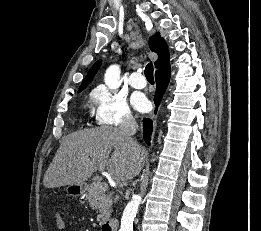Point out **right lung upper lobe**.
<instances>
[{
	"label": "right lung upper lobe",
	"mask_w": 261,
	"mask_h": 231,
	"mask_svg": "<svg viewBox=\"0 0 261 231\" xmlns=\"http://www.w3.org/2000/svg\"><path fill=\"white\" fill-rule=\"evenodd\" d=\"M149 46L151 51L158 54V59L155 62V67L157 68L156 72L169 66V51L167 48L166 42L160 37L159 33H156L152 36L149 40ZM101 65V60L97 61L89 70L88 74L86 75L85 79L83 80L79 90L82 91L87 87L89 83L93 80V77L97 73L99 67Z\"/></svg>",
	"instance_id": "cb5924a9"
}]
</instances>
